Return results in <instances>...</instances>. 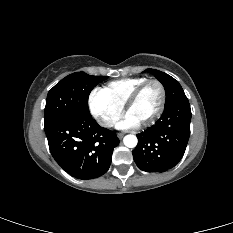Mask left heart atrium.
Masks as SVG:
<instances>
[{"instance_id":"left-heart-atrium-1","label":"left heart atrium","mask_w":233,"mask_h":233,"mask_svg":"<svg viewBox=\"0 0 233 233\" xmlns=\"http://www.w3.org/2000/svg\"><path fill=\"white\" fill-rule=\"evenodd\" d=\"M138 125V121L132 117L131 115L127 114L123 120H121L118 124H117V128L119 129H129V128H133L135 126Z\"/></svg>"}]
</instances>
